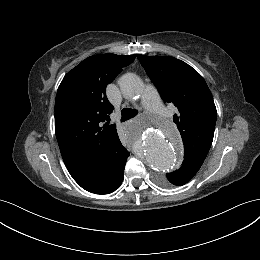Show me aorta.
<instances>
[{"instance_id":"762f6f07","label":"aorta","mask_w":260,"mask_h":260,"mask_svg":"<svg viewBox=\"0 0 260 260\" xmlns=\"http://www.w3.org/2000/svg\"><path fill=\"white\" fill-rule=\"evenodd\" d=\"M120 89L125 97L133 98L143 89L141 79L127 73L120 79ZM133 136L141 135L142 156L145 162L153 169L164 173L176 168L180 161V141L178 133L168 123H153L148 128H137Z\"/></svg>"}]
</instances>
